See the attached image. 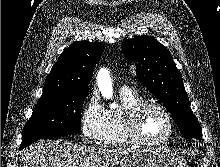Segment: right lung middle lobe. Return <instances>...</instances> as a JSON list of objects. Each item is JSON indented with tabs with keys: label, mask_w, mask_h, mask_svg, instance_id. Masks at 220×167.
<instances>
[{
	"label": "right lung middle lobe",
	"mask_w": 220,
	"mask_h": 167,
	"mask_svg": "<svg viewBox=\"0 0 220 167\" xmlns=\"http://www.w3.org/2000/svg\"><path fill=\"white\" fill-rule=\"evenodd\" d=\"M87 93L88 89L70 90L39 99L25 125L19 150L42 138H55L78 132Z\"/></svg>",
	"instance_id": "obj_1"
}]
</instances>
